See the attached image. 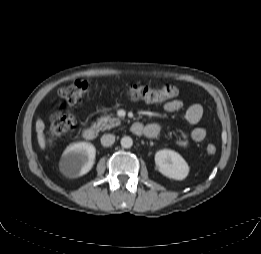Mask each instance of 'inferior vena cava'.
Returning <instances> with one entry per match:
<instances>
[{
    "label": "inferior vena cava",
    "mask_w": 261,
    "mask_h": 254,
    "mask_svg": "<svg viewBox=\"0 0 261 254\" xmlns=\"http://www.w3.org/2000/svg\"><path fill=\"white\" fill-rule=\"evenodd\" d=\"M114 142H115V136L112 135V134H104V135L101 137V144H102L104 147H109V146H111Z\"/></svg>",
    "instance_id": "1"
}]
</instances>
